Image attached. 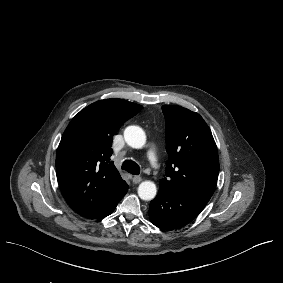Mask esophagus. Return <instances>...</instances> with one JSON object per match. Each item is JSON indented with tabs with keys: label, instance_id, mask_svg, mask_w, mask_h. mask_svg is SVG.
Instances as JSON below:
<instances>
[{
	"label": "esophagus",
	"instance_id": "1",
	"mask_svg": "<svg viewBox=\"0 0 283 283\" xmlns=\"http://www.w3.org/2000/svg\"><path fill=\"white\" fill-rule=\"evenodd\" d=\"M142 181V178L140 177V176H134L133 178H132V182L134 183V184H138V183H140Z\"/></svg>",
	"mask_w": 283,
	"mask_h": 283
}]
</instances>
